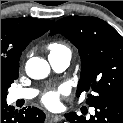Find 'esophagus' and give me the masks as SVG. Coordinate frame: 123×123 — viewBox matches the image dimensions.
<instances>
[{"label": "esophagus", "mask_w": 123, "mask_h": 123, "mask_svg": "<svg viewBox=\"0 0 123 123\" xmlns=\"http://www.w3.org/2000/svg\"><path fill=\"white\" fill-rule=\"evenodd\" d=\"M48 119H50V120H52L54 122H59V121L63 120L64 117L61 116V115H53V114H50V115H48Z\"/></svg>", "instance_id": "esophagus-1"}]
</instances>
